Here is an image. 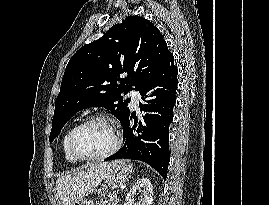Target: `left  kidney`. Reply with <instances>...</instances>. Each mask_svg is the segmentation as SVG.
Returning a JSON list of instances; mask_svg holds the SVG:
<instances>
[{"label": "left kidney", "instance_id": "5707ae66", "mask_svg": "<svg viewBox=\"0 0 269 205\" xmlns=\"http://www.w3.org/2000/svg\"><path fill=\"white\" fill-rule=\"evenodd\" d=\"M142 194L143 197L138 203H135V196ZM127 201L130 205H152L153 202V187L148 178L137 180L134 186L127 194Z\"/></svg>", "mask_w": 269, "mask_h": 205}]
</instances>
